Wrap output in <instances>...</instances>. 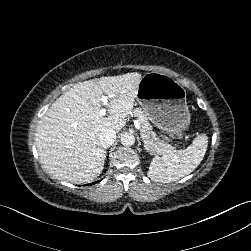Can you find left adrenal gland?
<instances>
[{
    "mask_svg": "<svg viewBox=\"0 0 251 251\" xmlns=\"http://www.w3.org/2000/svg\"><path fill=\"white\" fill-rule=\"evenodd\" d=\"M137 141H138V149L142 145V141L140 140V135H137Z\"/></svg>",
    "mask_w": 251,
    "mask_h": 251,
    "instance_id": "a2214340",
    "label": "left adrenal gland"
}]
</instances>
